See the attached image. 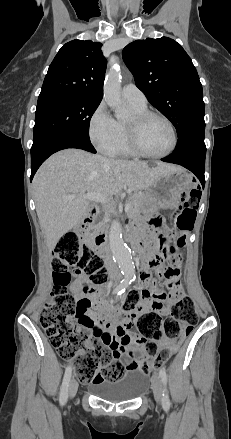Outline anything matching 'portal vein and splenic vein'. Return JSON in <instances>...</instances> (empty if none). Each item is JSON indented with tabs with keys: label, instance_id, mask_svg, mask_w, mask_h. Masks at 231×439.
Listing matches in <instances>:
<instances>
[{
	"label": "portal vein and splenic vein",
	"instance_id": "18ae733b",
	"mask_svg": "<svg viewBox=\"0 0 231 439\" xmlns=\"http://www.w3.org/2000/svg\"><path fill=\"white\" fill-rule=\"evenodd\" d=\"M76 196H71L69 197V199H74ZM78 197L86 199V200H90V201H95V202H100V203H107V199L101 194V193H97V192H91V193H86V194H79ZM130 209L129 204L127 203L125 205V212H128Z\"/></svg>",
	"mask_w": 231,
	"mask_h": 439
}]
</instances>
